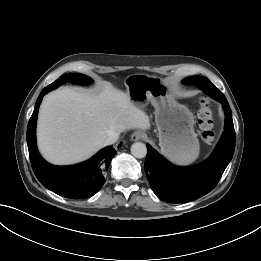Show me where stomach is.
<instances>
[{
    "mask_svg": "<svg viewBox=\"0 0 261 261\" xmlns=\"http://www.w3.org/2000/svg\"><path fill=\"white\" fill-rule=\"evenodd\" d=\"M126 87L135 106L143 108L148 102L154 106L163 155L178 164L193 162L199 155V141L192 112L174 99L168 86L158 77L133 74L127 78Z\"/></svg>",
    "mask_w": 261,
    "mask_h": 261,
    "instance_id": "stomach-1",
    "label": "stomach"
}]
</instances>
